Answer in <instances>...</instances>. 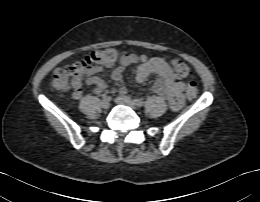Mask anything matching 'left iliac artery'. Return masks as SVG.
Listing matches in <instances>:
<instances>
[{
    "label": "left iliac artery",
    "mask_w": 260,
    "mask_h": 202,
    "mask_svg": "<svg viewBox=\"0 0 260 202\" xmlns=\"http://www.w3.org/2000/svg\"><path fill=\"white\" fill-rule=\"evenodd\" d=\"M134 103L139 107L144 105V102L141 99H134Z\"/></svg>",
    "instance_id": "left-iliac-artery-1"
}]
</instances>
